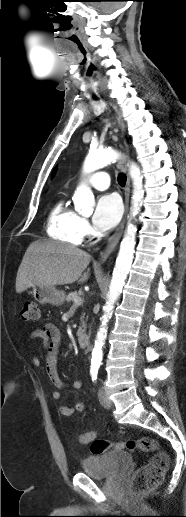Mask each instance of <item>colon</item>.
I'll list each match as a JSON object with an SVG mask.
<instances>
[{
	"mask_svg": "<svg viewBox=\"0 0 186 517\" xmlns=\"http://www.w3.org/2000/svg\"><path fill=\"white\" fill-rule=\"evenodd\" d=\"M21 317L27 321H37L40 317L39 305L35 301H27L21 310ZM90 451L93 455L105 453L110 449L142 450L152 452L153 456L148 464L139 468L131 481V492L139 496L155 489L162 481L165 471L169 467V458L160 448L158 442L152 438L141 437L127 441L110 442L92 437L89 439Z\"/></svg>",
	"mask_w": 186,
	"mask_h": 517,
	"instance_id": "5ec220e1",
	"label": "colon"
}]
</instances>
